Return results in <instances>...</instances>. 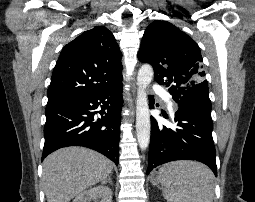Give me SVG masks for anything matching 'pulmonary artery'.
Masks as SVG:
<instances>
[{"label": "pulmonary artery", "mask_w": 255, "mask_h": 202, "mask_svg": "<svg viewBox=\"0 0 255 202\" xmlns=\"http://www.w3.org/2000/svg\"><path fill=\"white\" fill-rule=\"evenodd\" d=\"M153 89L158 94H163L164 93L163 89L158 85H155ZM166 106L172 112H174L176 110V104L171 100H166Z\"/></svg>", "instance_id": "obj_1"}]
</instances>
